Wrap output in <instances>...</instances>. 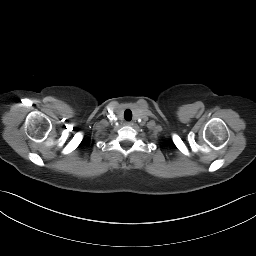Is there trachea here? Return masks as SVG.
<instances>
[{"mask_svg": "<svg viewBox=\"0 0 256 256\" xmlns=\"http://www.w3.org/2000/svg\"><path fill=\"white\" fill-rule=\"evenodd\" d=\"M124 118L127 120V121H130L132 119V112L127 109L125 112H124Z\"/></svg>", "mask_w": 256, "mask_h": 256, "instance_id": "trachea-1", "label": "trachea"}]
</instances>
